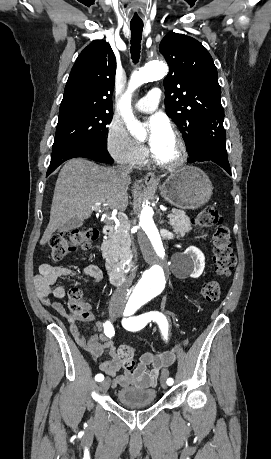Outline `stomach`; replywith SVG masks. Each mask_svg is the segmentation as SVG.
Masks as SVG:
<instances>
[{
    "label": "stomach",
    "instance_id": "stomach-1",
    "mask_svg": "<svg viewBox=\"0 0 271 459\" xmlns=\"http://www.w3.org/2000/svg\"><path fill=\"white\" fill-rule=\"evenodd\" d=\"M149 190H159L162 198L182 210H196L207 204L212 196V184L199 168L184 166L172 172L162 186H151Z\"/></svg>",
    "mask_w": 271,
    "mask_h": 459
}]
</instances>
